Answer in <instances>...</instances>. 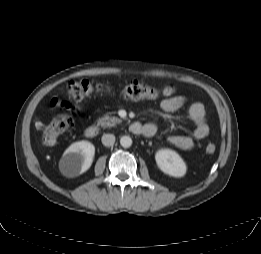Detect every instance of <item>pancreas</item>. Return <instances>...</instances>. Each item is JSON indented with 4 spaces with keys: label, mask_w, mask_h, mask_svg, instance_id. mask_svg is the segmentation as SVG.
I'll use <instances>...</instances> for the list:
<instances>
[{
    "label": "pancreas",
    "mask_w": 261,
    "mask_h": 254,
    "mask_svg": "<svg viewBox=\"0 0 261 254\" xmlns=\"http://www.w3.org/2000/svg\"><path fill=\"white\" fill-rule=\"evenodd\" d=\"M121 122L122 120L119 119L118 117H110L109 115H105L98 119L97 125L106 128V127H113Z\"/></svg>",
    "instance_id": "obj_1"
}]
</instances>
